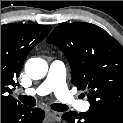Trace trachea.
<instances>
[{"label":"trachea","instance_id":"trachea-1","mask_svg":"<svg viewBox=\"0 0 123 123\" xmlns=\"http://www.w3.org/2000/svg\"><path fill=\"white\" fill-rule=\"evenodd\" d=\"M19 100L28 107H34L36 105V100L32 96H19ZM51 108L58 112H63L68 109L67 105L60 104V103H53L51 104Z\"/></svg>","mask_w":123,"mask_h":123}]
</instances>
